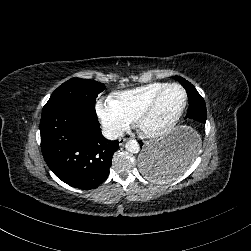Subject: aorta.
Returning <instances> with one entry per match:
<instances>
[{
	"label": "aorta",
	"mask_w": 251,
	"mask_h": 251,
	"mask_svg": "<svg viewBox=\"0 0 251 251\" xmlns=\"http://www.w3.org/2000/svg\"><path fill=\"white\" fill-rule=\"evenodd\" d=\"M125 149L131 153H136L139 151V144L134 139L128 140L125 143Z\"/></svg>",
	"instance_id": "1"
}]
</instances>
